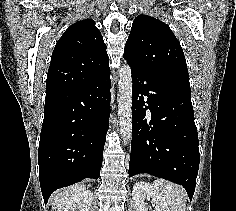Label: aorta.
Wrapping results in <instances>:
<instances>
[{"mask_svg": "<svg viewBox=\"0 0 236 211\" xmlns=\"http://www.w3.org/2000/svg\"><path fill=\"white\" fill-rule=\"evenodd\" d=\"M132 72L128 64L119 71L118 80V117L119 130L123 142L127 143L132 137Z\"/></svg>", "mask_w": 236, "mask_h": 211, "instance_id": "1", "label": "aorta"}]
</instances>
